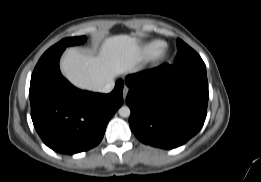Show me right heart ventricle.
Masks as SVG:
<instances>
[{
    "label": "right heart ventricle",
    "mask_w": 261,
    "mask_h": 182,
    "mask_svg": "<svg viewBox=\"0 0 261 182\" xmlns=\"http://www.w3.org/2000/svg\"><path fill=\"white\" fill-rule=\"evenodd\" d=\"M166 44L161 40H152L141 47V55L146 59L156 58L165 48Z\"/></svg>",
    "instance_id": "obj_1"
}]
</instances>
